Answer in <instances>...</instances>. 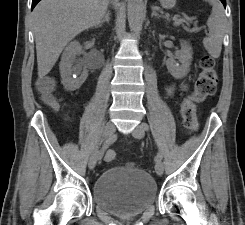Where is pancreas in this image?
<instances>
[{
  "instance_id": "1",
  "label": "pancreas",
  "mask_w": 245,
  "mask_h": 225,
  "mask_svg": "<svg viewBox=\"0 0 245 225\" xmlns=\"http://www.w3.org/2000/svg\"><path fill=\"white\" fill-rule=\"evenodd\" d=\"M191 20H192V19H190V18H186V19H184L183 22H181V23H179V24H174V25L179 26V25H182V23H187V24H188Z\"/></svg>"
}]
</instances>
